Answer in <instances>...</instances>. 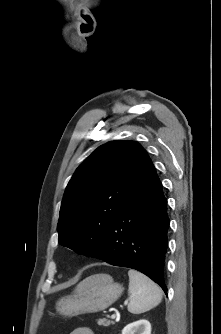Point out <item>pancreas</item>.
Listing matches in <instances>:
<instances>
[{
  "mask_svg": "<svg viewBox=\"0 0 221 334\" xmlns=\"http://www.w3.org/2000/svg\"><path fill=\"white\" fill-rule=\"evenodd\" d=\"M97 324L100 325V326H105V327H108L110 326L111 324H114L113 321H110V320H107L105 318H102V319H98L97 320Z\"/></svg>",
  "mask_w": 221,
  "mask_h": 334,
  "instance_id": "pancreas-1",
  "label": "pancreas"
}]
</instances>
